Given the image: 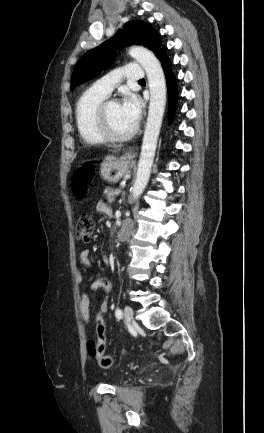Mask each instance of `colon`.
I'll list each match as a JSON object with an SVG mask.
<instances>
[{"mask_svg": "<svg viewBox=\"0 0 264 433\" xmlns=\"http://www.w3.org/2000/svg\"><path fill=\"white\" fill-rule=\"evenodd\" d=\"M92 179V167L91 165H85L78 169L73 176V191L74 194L82 198L85 196L87 191V185ZM94 230V223L91 214L83 213L76 226L77 238L83 242L89 241ZM105 309L103 306L100 307L96 319H95V331L98 343L97 349V360L101 368L108 369L112 367L114 361L113 358L105 353L106 349V324H105Z\"/></svg>", "mask_w": 264, "mask_h": 433, "instance_id": "obj_1", "label": "colon"}]
</instances>
